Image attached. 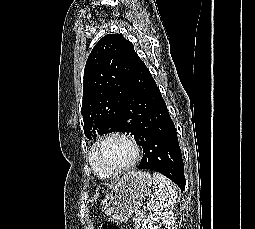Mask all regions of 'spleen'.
<instances>
[{
	"label": "spleen",
	"instance_id": "3e777b00",
	"mask_svg": "<svg viewBox=\"0 0 255 229\" xmlns=\"http://www.w3.org/2000/svg\"><path fill=\"white\" fill-rule=\"evenodd\" d=\"M152 179L155 191L147 203V208L153 212L173 208L177 200L175 184L157 172L153 173Z\"/></svg>",
	"mask_w": 255,
	"mask_h": 229
}]
</instances>
